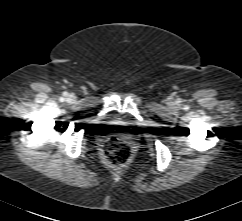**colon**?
Returning <instances> with one entry per match:
<instances>
[{"label": "colon", "instance_id": "1", "mask_svg": "<svg viewBox=\"0 0 242 221\" xmlns=\"http://www.w3.org/2000/svg\"><path fill=\"white\" fill-rule=\"evenodd\" d=\"M107 161L113 165H123L132 155L131 144L127 141L109 140L104 146Z\"/></svg>", "mask_w": 242, "mask_h": 221}]
</instances>
